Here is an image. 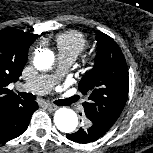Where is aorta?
Here are the masks:
<instances>
[{
  "label": "aorta",
  "mask_w": 153,
  "mask_h": 153,
  "mask_svg": "<svg viewBox=\"0 0 153 153\" xmlns=\"http://www.w3.org/2000/svg\"><path fill=\"white\" fill-rule=\"evenodd\" d=\"M54 62V53L48 49L40 51L34 58V66L40 71L50 70ZM54 123L59 131L72 133L78 126V117L72 109L59 108L54 114Z\"/></svg>",
  "instance_id": "aorta-1"
}]
</instances>
